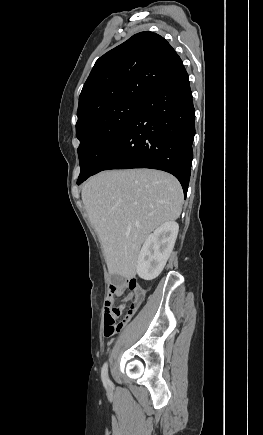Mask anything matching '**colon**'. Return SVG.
<instances>
[{
  "mask_svg": "<svg viewBox=\"0 0 263 435\" xmlns=\"http://www.w3.org/2000/svg\"><path fill=\"white\" fill-rule=\"evenodd\" d=\"M125 289L129 291V294L125 298V301L129 303V308L123 321L130 320L144 297V290L138 285L135 279H127L122 284L112 285L111 293L119 295ZM121 312L122 307H112L105 313V336L110 337L123 328V321L117 322V318L120 316Z\"/></svg>",
  "mask_w": 263,
  "mask_h": 435,
  "instance_id": "obj_1",
  "label": "colon"
}]
</instances>
